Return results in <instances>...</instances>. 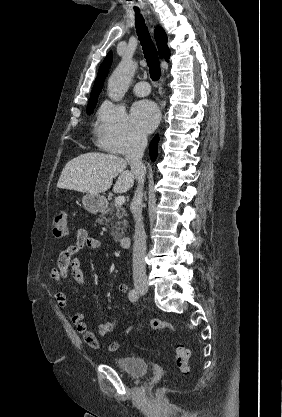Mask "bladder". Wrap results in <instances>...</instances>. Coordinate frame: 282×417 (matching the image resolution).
I'll list each match as a JSON object with an SVG mask.
<instances>
[{
  "label": "bladder",
  "instance_id": "obj_1",
  "mask_svg": "<svg viewBox=\"0 0 282 417\" xmlns=\"http://www.w3.org/2000/svg\"><path fill=\"white\" fill-rule=\"evenodd\" d=\"M113 364L119 370L134 378L143 377L149 371L147 360L135 355L114 358Z\"/></svg>",
  "mask_w": 282,
  "mask_h": 417
}]
</instances>
